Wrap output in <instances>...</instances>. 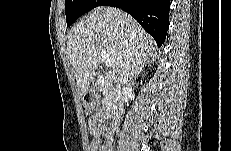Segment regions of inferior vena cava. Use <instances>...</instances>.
Wrapping results in <instances>:
<instances>
[{"mask_svg": "<svg viewBox=\"0 0 231 151\" xmlns=\"http://www.w3.org/2000/svg\"><path fill=\"white\" fill-rule=\"evenodd\" d=\"M121 88L118 90L117 94V107H118V114L115 116V125L119 123V115L123 113V99H124V91H125V85H126V80L122 79L120 81Z\"/></svg>", "mask_w": 231, "mask_h": 151, "instance_id": "obj_1", "label": "inferior vena cava"}]
</instances>
